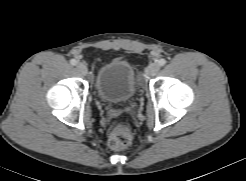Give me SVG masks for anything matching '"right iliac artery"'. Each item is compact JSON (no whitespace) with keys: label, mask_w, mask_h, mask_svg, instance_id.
Returning <instances> with one entry per match:
<instances>
[{"label":"right iliac artery","mask_w":246,"mask_h":181,"mask_svg":"<svg viewBox=\"0 0 246 181\" xmlns=\"http://www.w3.org/2000/svg\"><path fill=\"white\" fill-rule=\"evenodd\" d=\"M77 63H78V62H77L75 59H71V60H70V64H71V65H76Z\"/></svg>","instance_id":"obj_1"}]
</instances>
